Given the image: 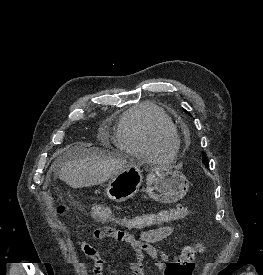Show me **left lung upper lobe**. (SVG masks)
<instances>
[{
  "mask_svg": "<svg viewBox=\"0 0 263 275\" xmlns=\"http://www.w3.org/2000/svg\"><path fill=\"white\" fill-rule=\"evenodd\" d=\"M186 113L189 114V115H191V114H190L189 112H187V111H186ZM202 154H203V164H204L205 166L209 167V163L207 162L206 156L204 155V153H202Z\"/></svg>",
  "mask_w": 263,
  "mask_h": 275,
  "instance_id": "left-lung-upper-lobe-1",
  "label": "left lung upper lobe"
}]
</instances>
